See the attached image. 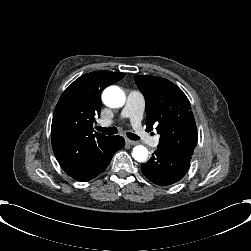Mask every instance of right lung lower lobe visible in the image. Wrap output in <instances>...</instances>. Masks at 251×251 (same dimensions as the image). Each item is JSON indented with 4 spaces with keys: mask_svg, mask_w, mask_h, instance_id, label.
<instances>
[{
    "mask_svg": "<svg viewBox=\"0 0 251 251\" xmlns=\"http://www.w3.org/2000/svg\"><path fill=\"white\" fill-rule=\"evenodd\" d=\"M124 145H125V140L123 137L114 136L109 150L105 151L102 158H100L97 162H95L86 170L82 171L81 173L75 176H72V178L79 182H85L98 176L100 173H102L106 169L114 153L118 151L119 149L123 148Z\"/></svg>",
    "mask_w": 251,
    "mask_h": 251,
    "instance_id": "1",
    "label": "right lung lower lobe"
}]
</instances>
